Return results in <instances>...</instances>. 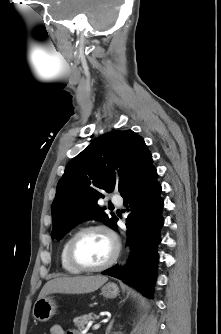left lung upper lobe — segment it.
<instances>
[{
    "label": "left lung upper lobe",
    "mask_w": 221,
    "mask_h": 334,
    "mask_svg": "<svg viewBox=\"0 0 221 334\" xmlns=\"http://www.w3.org/2000/svg\"><path fill=\"white\" fill-rule=\"evenodd\" d=\"M151 160L143 138L132 130L109 132L92 142L68 163L58 182L51 237L61 239L89 219L113 228L116 216L109 218L98 200L115 188L122 194Z\"/></svg>",
    "instance_id": "left-lung-upper-lobe-1"
}]
</instances>
